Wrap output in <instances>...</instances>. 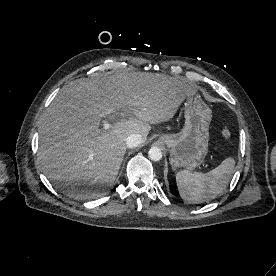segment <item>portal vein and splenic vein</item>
<instances>
[{
	"label": "portal vein and splenic vein",
	"mask_w": 276,
	"mask_h": 276,
	"mask_svg": "<svg viewBox=\"0 0 276 276\" xmlns=\"http://www.w3.org/2000/svg\"><path fill=\"white\" fill-rule=\"evenodd\" d=\"M124 114H122V116H123ZM110 124L109 123H104V125H103V128L104 129H109L110 128Z\"/></svg>",
	"instance_id": "18ae733b"
}]
</instances>
